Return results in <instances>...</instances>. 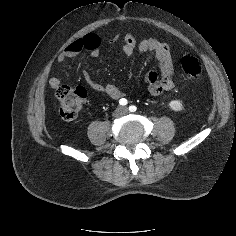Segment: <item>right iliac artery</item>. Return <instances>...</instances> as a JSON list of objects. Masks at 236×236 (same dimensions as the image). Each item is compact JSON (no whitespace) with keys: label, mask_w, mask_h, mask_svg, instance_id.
Wrapping results in <instances>:
<instances>
[{"label":"right iliac artery","mask_w":236,"mask_h":236,"mask_svg":"<svg viewBox=\"0 0 236 236\" xmlns=\"http://www.w3.org/2000/svg\"><path fill=\"white\" fill-rule=\"evenodd\" d=\"M127 103H128V101L125 98H122V99L119 100V104L122 105V106L127 105Z\"/></svg>","instance_id":"obj_1"}]
</instances>
